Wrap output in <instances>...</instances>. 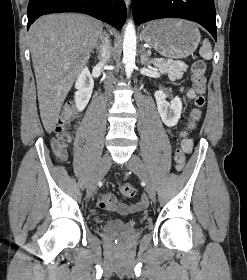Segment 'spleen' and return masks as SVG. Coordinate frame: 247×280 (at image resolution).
<instances>
[{
    "label": "spleen",
    "instance_id": "1",
    "mask_svg": "<svg viewBox=\"0 0 247 280\" xmlns=\"http://www.w3.org/2000/svg\"><path fill=\"white\" fill-rule=\"evenodd\" d=\"M199 54L206 60H210L212 58V47L208 39L203 41V45L199 50Z\"/></svg>",
    "mask_w": 247,
    "mask_h": 280
}]
</instances>
